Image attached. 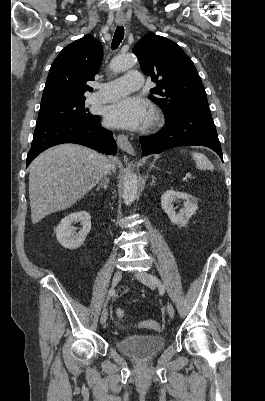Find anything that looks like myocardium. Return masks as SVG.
I'll return each mask as SVG.
<instances>
[{
	"instance_id": "obj_1",
	"label": "myocardium",
	"mask_w": 265,
	"mask_h": 401,
	"mask_svg": "<svg viewBox=\"0 0 265 401\" xmlns=\"http://www.w3.org/2000/svg\"><path fill=\"white\" fill-rule=\"evenodd\" d=\"M162 120L161 112L158 109H153L149 118V126L155 127L157 126Z\"/></svg>"
}]
</instances>
